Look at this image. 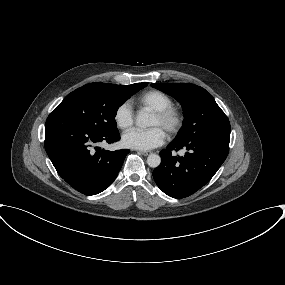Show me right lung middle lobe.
I'll return each mask as SVG.
<instances>
[{"instance_id":"obj_1","label":"right lung middle lobe","mask_w":285,"mask_h":285,"mask_svg":"<svg viewBox=\"0 0 285 285\" xmlns=\"http://www.w3.org/2000/svg\"><path fill=\"white\" fill-rule=\"evenodd\" d=\"M147 83L115 85L86 84L70 94L51 113L77 121L94 132H118L115 116L118 108Z\"/></svg>"}]
</instances>
